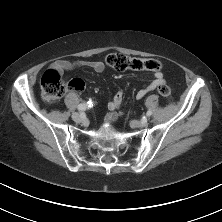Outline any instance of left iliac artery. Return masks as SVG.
Here are the masks:
<instances>
[{"mask_svg":"<svg viewBox=\"0 0 222 222\" xmlns=\"http://www.w3.org/2000/svg\"><path fill=\"white\" fill-rule=\"evenodd\" d=\"M151 114H152L151 110H148L147 113H146L147 116H151Z\"/></svg>","mask_w":222,"mask_h":222,"instance_id":"left-iliac-artery-1","label":"left iliac artery"}]
</instances>
